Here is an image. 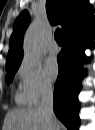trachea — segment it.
Here are the masks:
<instances>
[{
	"instance_id": "3493384b",
	"label": "trachea",
	"mask_w": 95,
	"mask_h": 130,
	"mask_svg": "<svg viewBox=\"0 0 95 130\" xmlns=\"http://www.w3.org/2000/svg\"><path fill=\"white\" fill-rule=\"evenodd\" d=\"M55 40L59 45H62V32L60 29H57L54 34Z\"/></svg>"
}]
</instances>
